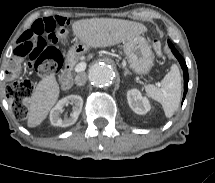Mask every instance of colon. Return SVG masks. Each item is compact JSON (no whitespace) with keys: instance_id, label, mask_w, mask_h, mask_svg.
I'll return each instance as SVG.
<instances>
[{"instance_id":"obj_1","label":"colon","mask_w":215,"mask_h":183,"mask_svg":"<svg viewBox=\"0 0 215 183\" xmlns=\"http://www.w3.org/2000/svg\"><path fill=\"white\" fill-rule=\"evenodd\" d=\"M67 22L62 17L46 18L36 21L26 31L15 51V58L20 63H27L37 74L47 75L57 71L61 64V54L56 48L59 40L67 35ZM153 48L158 56H162V45L155 41ZM6 94L12 103L16 118L24 119L28 114L26 101L33 92V84L23 79V68L18 63H11L6 68Z\"/></svg>"}]
</instances>
